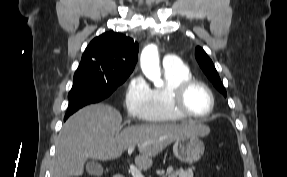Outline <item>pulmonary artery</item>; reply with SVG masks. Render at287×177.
I'll return each mask as SVG.
<instances>
[{
  "label": "pulmonary artery",
  "instance_id": "1",
  "mask_svg": "<svg viewBox=\"0 0 287 177\" xmlns=\"http://www.w3.org/2000/svg\"><path fill=\"white\" fill-rule=\"evenodd\" d=\"M179 64H180L179 59L175 55H169L163 59V67H174Z\"/></svg>",
  "mask_w": 287,
  "mask_h": 177
}]
</instances>
